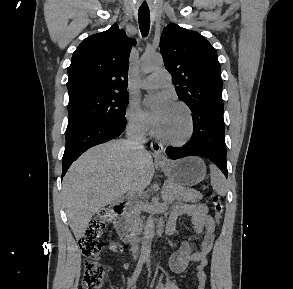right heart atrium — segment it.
I'll return each instance as SVG.
<instances>
[{
    "instance_id": "obj_1",
    "label": "right heart atrium",
    "mask_w": 293,
    "mask_h": 289,
    "mask_svg": "<svg viewBox=\"0 0 293 289\" xmlns=\"http://www.w3.org/2000/svg\"><path fill=\"white\" fill-rule=\"evenodd\" d=\"M127 127L137 135H144L150 128V123L135 101H130L125 112Z\"/></svg>"
}]
</instances>
